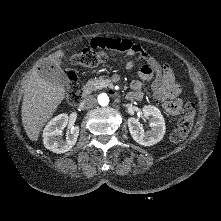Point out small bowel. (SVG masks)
<instances>
[{"label": "small bowel", "instance_id": "small-bowel-1", "mask_svg": "<svg viewBox=\"0 0 221 221\" xmlns=\"http://www.w3.org/2000/svg\"><path fill=\"white\" fill-rule=\"evenodd\" d=\"M90 46L93 49H106L123 53V63L126 69H131L134 66L132 58L142 61L143 65L139 70L138 78L131 82L132 93L136 96L135 100L138 101L143 98V84L151 81L153 97L161 102L164 111L173 116L182 112L181 87L167 64L161 65L139 45L127 39L94 38L91 40Z\"/></svg>", "mask_w": 221, "mask_h": 221}]
</instances>
